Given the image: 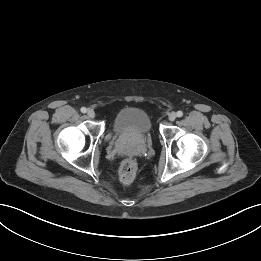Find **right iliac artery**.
<instances>
[{
    "mask_svg": "<svg viewBox=\"0 0 261 261\" xmlns=\"http://www.w3.org/2000/svg\"><path fill=\"white\" fill-rule=\"evenodd\" d=\"M81 112H82V113H86V112H87V109H86L85 107H82V108H81Z\"/></svg>",
    "mask_w": 261,
    "mask_h": 261,
    "instance_id": "82829eb1",
    "label": "right iliac artery"
}]
</instances>
